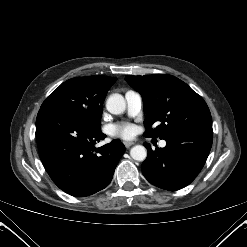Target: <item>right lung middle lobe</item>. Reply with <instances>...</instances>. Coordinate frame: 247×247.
I'll return each instance as SVG.
<instances>
[{"mask_svg":"<svg viewBox=\"0 0 247 247\" xmlns=\"http://www.w3.org/2000/svg\"><path fill=\"white\" fill-rule=\"evenodd\" d=\"M106 94L89 77L62 83L43 102L41 108L54 107L73 113L94 127H100Z\"/></svg>","mask_w":247,"mask_h":247,"instance_id":"obj_1","label":"right lung middle lobe"}]
</instances>
